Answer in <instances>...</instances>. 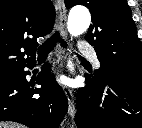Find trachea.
<instances>
[{
	"label": "trachea",
	"mask_w": 142,
	"mask_h": 128,
	"mask_svg": "<svg viewBox=\"0 0 142 128\" xmlns=\"http://www.w3.org/2000/svg\"><path fill=\"white\" fill-rule=\"evenodd\" d=\"M60 42L61 45L63 47L66 48V44L65 42L63 41V39L60 37V34L58 31H56L51 38H49L44 44H42L40 47H39V51H38V58L39 59H43L45 58L54 48L55 44L57 42ZM79 58H82L81 56H79Z\"/></svg>",
	"instance_id": "1"
}]
</instances>
